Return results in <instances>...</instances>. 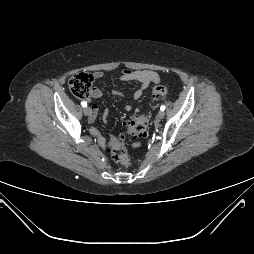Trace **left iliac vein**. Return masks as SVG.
<instances>
[{"label": "left iliac vein", "instance_id": "left-iliac-vein-1", "mask_svg": "<svg viewBox=\"0 0 254 254\" xmlns=\"http://www.w3.org/2000/svg\"><path fill=\"white\" fill-rule=\"evenodd\" d=\"M164 116H165V112H164L163 110H160V111L158 112V118L163 119Z\"/></svg>", "mask_w": 254, "mask_h": 254}]
</instances>
